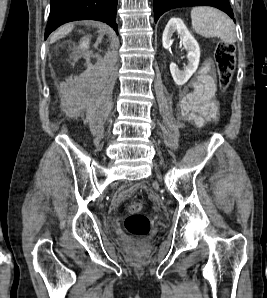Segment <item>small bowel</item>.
Masks as SVG:
<instances>
[{"label": "small bowel", "mask_w": 267, "mask_h": 298, "mask_svg": "<svg viewBox=\"0 0 267 298\" xmlns=\"http://www.w3.org/2000/svg\"><path fill=\"white\" fill-rule=\"evenodd\" d=\"M188 87L189 90L180 100L181 115L197 127L215 122L218 118V104L215 99L214 69L211 61L203 64Z\"/></svg>", "instance_id": "small-bowel-1"}]
</instances>
